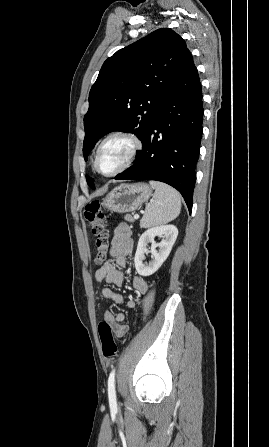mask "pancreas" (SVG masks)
<instances>
[{"mask_svg":"<svg viewBox=\"0 0 269 447\" xmlns=\"http://www.w3.org/2000/svg\"><path fill=\"white\" fill-rule=\"evenodd\" d=\"M124 220H127V222H134L131 214H127V216H124Z\"/></svg>","mask_w":269,"mask_h":447,"instance_id":"cf45deb5","label":"pancreas"}]
</instances>
